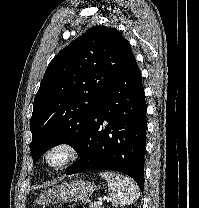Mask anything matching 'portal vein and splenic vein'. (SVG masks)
Returning <instances> with one entry per match:
<instances>
[{
	"label": "portal vein and splenic vein",
	"mask_w": 199,
	"mask_h": 208,
	"mask_svg": "<svg viewBox=\"0 0 199 208\" xmlns=\"http://www.w3.org/2000/svg\"><path fill=\"white\" fill-rule=\"evenodd\" d=\"M102 201H103V199L102 198H99L97 204L98 205H101L102 204Z\"/></svg>",
	"instance_id": "1"
}]
</instances>
